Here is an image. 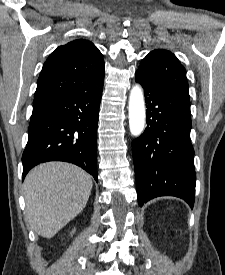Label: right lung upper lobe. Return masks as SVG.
I'll return each instance as SVG.
<instances>
[{
  "label": "right lung upper lobe",
  "mask_w": 225,
  "mask_h": 275,
  "mask_svg": "<svg viewBox=\"0 0 225 275\" xmlns=\"http://www.w3.org/2000/svg\"><path fill=\"white\" fill-rule=\"evenodd\" d=\"M104 72L102 54L90 41L76 39L59 46L43 65L33 103L70 92H90Z\"/></svg>",
  "instance_id": "right-lung-upper-lobe-1"
}]
</instances>
